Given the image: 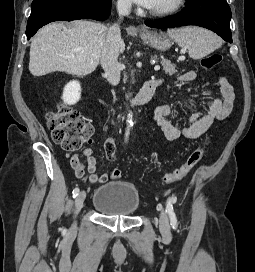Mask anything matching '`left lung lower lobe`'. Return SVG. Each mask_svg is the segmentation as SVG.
Masks as SVG:
<instances>
[{"label":"left lung lower lobe","instance_id":"0a47b994","mask_svg":"<svg viewBox=\"0 0 255 272\" xmlns=\"http://www.w3.org/2000/svg\"><path fill=\"white\" fill-rule=\"evenodd\" d=\"M231 10L226 0H187L186 8L179 14L155 21H145L153 28H170L198 25L217 33L231 43Z\"/></svg>","mask_w":255,"mask_h":272}]
</instances>
